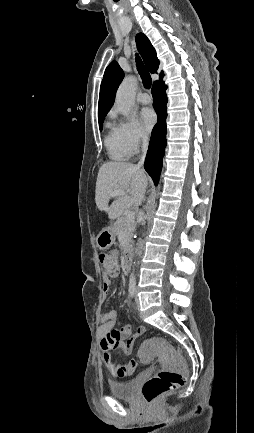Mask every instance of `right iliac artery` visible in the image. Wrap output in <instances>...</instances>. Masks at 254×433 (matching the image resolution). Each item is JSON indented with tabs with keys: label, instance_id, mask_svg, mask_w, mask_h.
I'll return each mask as SVG.
<instances>
[{
	"label": "right iliac artery",
	"instance_id": "obj_1",
	"mask_svg": "<svg viewBox=\"0 0 254 433\" xmlns=\"http://www.w3.org/2000/svg\"><path fill=\"white\" fill-rule=\"evenodd\" d=\"M135 287H136V284H135V282H130L129 283V295L131 296V297H133L134 296V294H135Z\"/></svg>",
	"mask_w": 254,
	"mask_h": 433
}]
</instances>
